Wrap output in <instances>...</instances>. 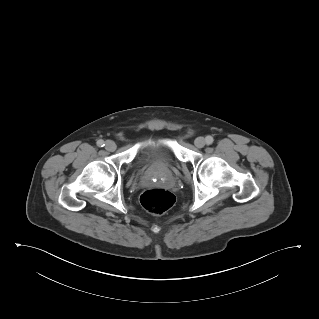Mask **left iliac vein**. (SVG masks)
<instances>
[{
  "instance_id": "1",
  "label": "left iliac vein",
  "mask_w": 319,
  "mask_h": 319,
  "mask_svg": "<svg viewBox=\"0 0 319 319\" xmlns=\"http://www.w3.org/2000/svg\"><path fill=\"white\" fill-rule=\"evenodd\" d=\"M194 144H195L196 147L202 148V147L205 146L206 141H205V139L203 137H197L195 139V141H194Z\"/></svg>"
}]
</instances>
